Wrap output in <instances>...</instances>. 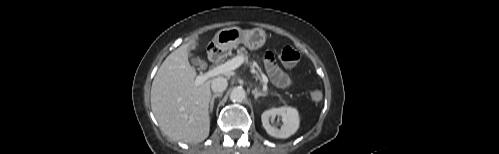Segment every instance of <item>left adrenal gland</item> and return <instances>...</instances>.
<instances>
[{
	"label": "left adrenal gland",
	"instance_id": "left-adrenal-gland-1",
	"mask_svg": "<svg viewBox=\"0 0 499 154\" xmlns=\"http://www.w3.org/2000/svg\"><path fill=\"white\" fill-rule=\"evenodd\" d=\"M252 94L254 95L255 100H257L259 97L267 96V92H260V91H258L257 88L252 90Z\"/></svg>",
	"mask_w": 499,
	"mask_h": 154
}]
</instances>
